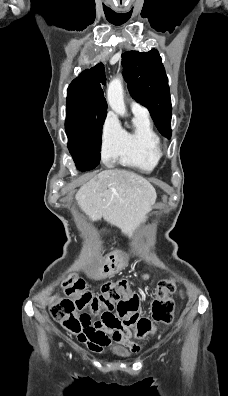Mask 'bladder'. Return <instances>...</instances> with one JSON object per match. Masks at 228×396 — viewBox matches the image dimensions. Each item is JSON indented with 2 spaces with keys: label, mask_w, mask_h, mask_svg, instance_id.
<instances>
[{
  "label": "bladder",
  "mask_w": 228,
  "mask_h": 396,
  "mask_svg": "<svg viewBox=\"0 0 228 396\" xmlns=\"http://www.w3.org/2000/svg\"><path fill=\"white\" fill-rule=\"evenodd\" d=\"M112 353L116 356L123 357V358H128L132 355V352L129 349H127L125 347H121V346L115 347L112 350Z\"/></svg>",
  "instance_id": "obj_1"
}]
</instances>
